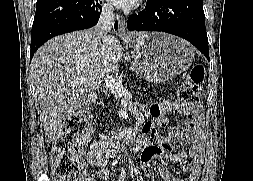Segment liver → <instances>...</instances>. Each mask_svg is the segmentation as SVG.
<instances>
[{"label":"liver","instance_id":"liver-1","mask_svg":"<svg viewBox=\"0 0 253 181\" xmlns=\"http://www.w3.org/2000/svg\"><path fill=\"white\" fill-rule=\"evenodd\" d=\"M132 32L127 39L143 35ZM103 43L95 28L57 36L42 45L32 59V79L44 115V131L51 142L85 100L94 94L103 79L117 73L123 56L113 36Z\"/></svg>","mask_w":253,"mask_h":181}]
</instances>
